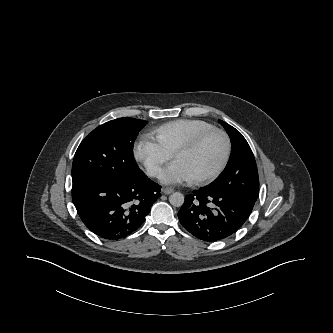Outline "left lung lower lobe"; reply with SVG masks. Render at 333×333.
Returning <instances> with one entry per match:
<instances>
[{"label": "left lung lower lobe", "mask_w": 333, "mask_h": 333, "mask_svg": "<svg viewBox=\"0 0 333 333\" xmlns=\"http://www.w3.org/2000/svg\"><path fill=\"white\" fill-rule=\"evenodd\" d=\"M253 206L224 189L207 186L185 197L178 218L193 236L206 242H215L240 229Z\"/></svg>", "instance_id": "obj_1"}]
</instances>
